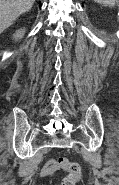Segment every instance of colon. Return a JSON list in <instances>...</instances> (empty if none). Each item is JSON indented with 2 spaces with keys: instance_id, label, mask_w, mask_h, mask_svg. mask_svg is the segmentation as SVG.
Segmentation results:
<instances>
[{
  "instance_id": "5ec220e1",
  "label": "colon",
  "mask_w": 119,
  "mask_h": 185,
  "mask_svg": "<svg viewBox=\"0 0 119 185\" xmlns=\"http://www.w3.org/2000/svg\"><path fill=\"white\" fill-rule=\"evenodd\" d=\"M60 168L65 170L68 174L61 182V185H77L82 179V171L79 164L69 161L65 157L58 159Z\"/></svg>"
}]
</instances>
